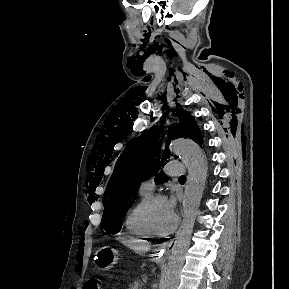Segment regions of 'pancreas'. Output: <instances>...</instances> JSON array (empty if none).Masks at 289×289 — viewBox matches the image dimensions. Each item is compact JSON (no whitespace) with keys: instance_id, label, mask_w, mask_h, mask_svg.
<instances>
[{"instance_id":"obj_1","label":"pancreas","mask_w":289,"mask_h":289,"mask_svg":"<svg viewBox=\"0 0 289 289\" xmlns=\"http://www.w3.org/2000/svg\"><path fill=\"white\" fill-rule=\"evenodd\" d=\"M142 284H143L142 280L137 279L130 285L129 289H141Z\"/></svg>"}]
</instances>
